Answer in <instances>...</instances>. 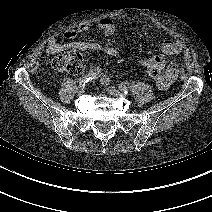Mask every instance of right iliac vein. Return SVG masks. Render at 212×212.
<instances>
[{
	"instance_id": "right-iliac-vein-1",
	"label": "right iliac vein",
	"mask_w": 212,
	"mask_h": 212,
	"mask_svg": "<svg viewBox=\"0 0 212 212\" xmlns=\"http://www.w3.org/2000/svg\"><path fill=\"white\" fill-rule=\"evenodd\" d=\"M78 93H79V94H84V93H85V88L79 87V88H78Z\"/></svg>"
}]
</instances>
